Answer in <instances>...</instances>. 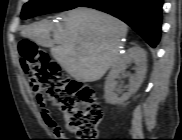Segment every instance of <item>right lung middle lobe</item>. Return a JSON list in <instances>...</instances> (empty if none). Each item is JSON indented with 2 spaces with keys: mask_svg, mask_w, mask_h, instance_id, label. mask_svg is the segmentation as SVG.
<instances>
[{
  "mask_svg": "<svg viewBox=\"0 0 182 140\" xmlns=\"http://www.w3.org/2000/svg\"><path fill=\"white\" fill-rule=\"evenodd\" d=\"M84 1L86 0H30L23 6L21 18L28 19L42 14L67 11L79 7Z\"/></svg>",
  "mask_w": 182,
  "mask_h": 140,
  "instance_id": "dd1d6c3e",
  "label": "right lung middle lobe"
}]
</instances>
